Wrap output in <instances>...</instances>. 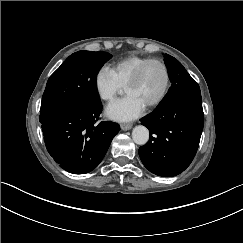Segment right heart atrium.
I'll return each mask as SVG.
<instances>
[{
    "mask_svg": "<svg viewBox=\"0 0 243 243\" xmlns=\"http://www.w3.org/2000/svg\"><path fill=\"white\" fill-rule=\"evenodd\" d=\"M94 89L100 100H113L121 91L112 68L108 65H101L94 75Z\"/></svg>",
    "mask_w": 243,
    "mask_h": 243,
    "instance_id": "1",
    "label": "right heart atrium"
}]
</instances>
